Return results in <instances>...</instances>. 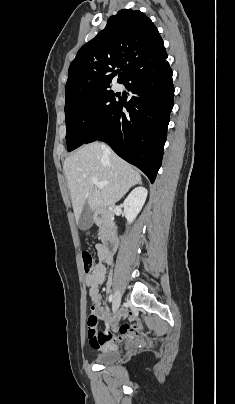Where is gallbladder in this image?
Segmentation results:
<instances>
[{"mask_svg":"<svg viewBox=\"0 0 235 404\" xmlns=\"http://www.w3.org/2000/svg\"><path fill=\"white\" fill-rule=\"evenodd\" d=\"M77 224L81 230H88L93 224L92 213L87 203L83 207Z\"/></svg>","mask_w":235,"mask_h":404,"instance_id":"obj_1","label":"gallbladder"}]
</instances>
